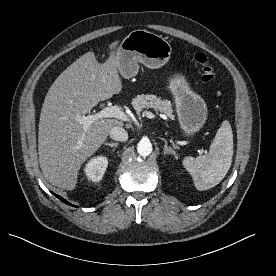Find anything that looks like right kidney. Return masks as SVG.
Masks as SVG:
<instances>
[{
  "label": "right kidney",
  "instance_id": "ca27d5eb",
  "mask_svg": "<svg viewBox=\"0 0 276 276\" xmlns=\"http://www.w3.org/2000/svg\"><path fill=\"white\" fill-rule=\"evenodd\" d=\"M107 165L108 159L106 156L100 155L91 158L84 168L85 175L88 180L92 182H99L105 173Z\"/></svg>",
  "mask_w": 276,
  "mask_h": 276
}]
</instances>
